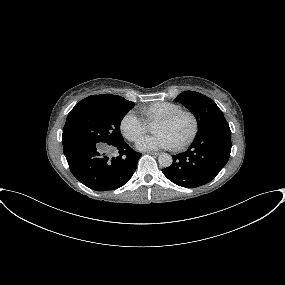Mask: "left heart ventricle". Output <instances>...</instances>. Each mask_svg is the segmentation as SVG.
I'll return each mask as SVG.
<instances>
[{
    "label": "left heart ventricle",
    "instance_id": "b2bd125f",
    "mask_svg": "<svg viewBox=\"0 0 285 285\" xmlns=\"http://www.w3.org/2000/svg\"><path fill=\"white\" fill-rule=\"evenodd\" d=\"M155 133L166 134L174 145L183 141L191 130V121L188 117H180L171 123L155 122L152 127Z\"/></svg>",
    "mask_w": 285,
    "mask_h": 285
}]
</instances>
